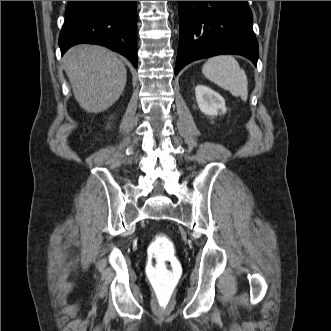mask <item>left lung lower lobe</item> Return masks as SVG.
<instances>
[{
	"label": "left lung lower lobe",
	"instance_id": "1",
	"mask_svg": "<svg viewBox=\"0 0 331 331\" xmlns=\"http://www.w3.org/2000/svg\"><path fill=\"white\" fill-rule=\"evenodd\" d=\"M180 35L175 75L186 64L219 54L258 60L247 1H179Z\"/></svg>",
	"mask_w": 331,
	"mask_h": 331
}]
</instances>
